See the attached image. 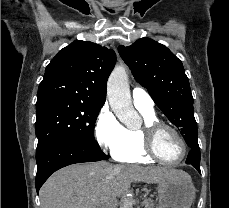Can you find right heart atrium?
I'll list each match as a JSON object with an SVG mask.
<instances>
[{"instance_id":"d8ad5b80","label":"right heart atrium","mask_w":229,"mask_h":208,"mask_svg":"<svg viewBox=\"0 0 229 208\" xmlns=\"http://www.w3.org/2000/svg\"><path fill=\"white\" fill-rule=\"evenodd\" d=\"M93 131L95 140L104 151L115 154L127 144L124 126L107 106L98 112Z\"/></svg>"}]
</instances>
